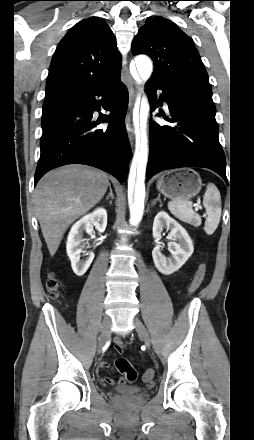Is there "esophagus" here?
Here are the masks:
<instances>
[{
	"instance_id": "1",
	"label": "esophagus",
	"mask_w": 254,
	"mask_h": 440,
	"mask_svg": "<svg viewBox=\"0 0 254 440\" xmlns=\"http://www.w3.org/2000/svg\"><path fill=\"white\" fill-rule=\"evenodd\" d=\"M123 70H124V74L126 77V84H127L128 91H129V112L127 113V116L125 119V124H126V129L128 132L130 143H131V145H133L134 130L131 125V109H132L134 100L136 98L137 92H138V87L135 84V82L133 81L132 77L130 76L127 66H124Z\"/></svg>"
}]
</instances>
